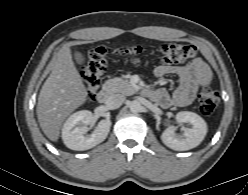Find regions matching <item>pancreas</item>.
<instances>
[{
	"mask_svg": "<svg viewBox=\"0 0 248 195\" xmlns=\"http://www.w3.org/2000/svg\"><path fill=\"white\" fill-rule=\"evenodd\" d=\"M105 87L111 93H122L124 95H132L138 90V87L136 85L132 84L128 79L124 77H116L107 80L105 83Z\"/></svg>",
	"mask_w": 248,
	"mask_h": 195,
	"instance_id": "cf45deb5",
	"label": "pancreas"
}]
</instances>
